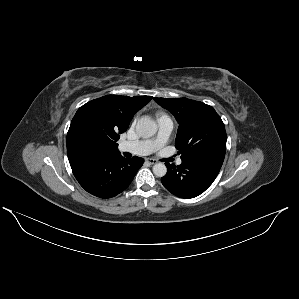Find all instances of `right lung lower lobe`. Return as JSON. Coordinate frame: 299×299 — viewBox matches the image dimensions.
<instances>
[{
    "mask_svg": "<svg viewBox=\"0 0 299 299\" xmlns=\"http://www.w3.org/2000/svg\"><path fill=\"white\" fill-rule=\"evenodd\" d=\"M144 160L125 159L119 151L95 152L69 160L80 185L99 198H111L125 190Z\"/></svg>",
    "mask_w": 299,
    "mask_h": 299,
    "instance_id": "1",
    "label": "right lung lower lobe"
}]
</instances>
